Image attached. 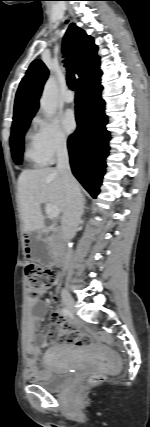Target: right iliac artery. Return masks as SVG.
Returning <instances> with one entry per match:
<instances>
[{
	"label": "right iliac artery",
	"instance_id": "1",
	"mask_svg": "<svg viewBox=\"0 0 150 427\" xmlns=\"http://www.w3.org/2000/svg\"><path fill=\"white\" fill-rule=\"evenodd\" d=\"M62 314H63L64 316H67V315L69 314L68 309H67V308H63V309H62Z\"/></svg>",
	"mask_w": 150,
	"mask_h": 427
}]
</instances>
